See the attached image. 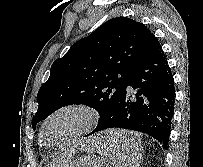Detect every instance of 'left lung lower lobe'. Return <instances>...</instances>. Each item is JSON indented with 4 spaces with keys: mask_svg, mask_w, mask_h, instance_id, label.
I'll return each mask as SVG.
<instances>
[{
    "mask_svg": "<svg viewBox=\"0 0 203 167\" xmlns=\"http://www.w3.org/2000/svg\"><path fill=\"white\" fill-rule=\"evenodd\" d=\"M174 105V78L157 41L130 71L126 88L111 117L92 133L109 128L143 132L167 150ZM99 145L116 149L122 143L107 141Z\"/></svg>",
    "mask_w": 203,
    "mask_h": 167,
    "instance_id": "left-lung-lower-lobe-1",
    "label": "left lung lower lobe"
}]
</instances>
